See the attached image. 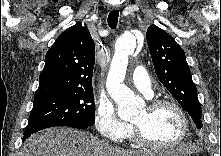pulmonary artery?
<instances>
[{
  "label": "pulmonary artery",
  "mask_w": 221,
  "mask_h": 156,
  "mask_svg": "<svg viewBox=\"0 0 221 156\" xmlns=\"http://www.w3.org/2000/svg\"><path fill=\"white\" fill-rule=\"evenodd\" d=\"M133 85L147 97H152L151 81L144 67L138 66L132 74Z\"/></svg>",
  "instance_id": "1"
}]
</instances>
